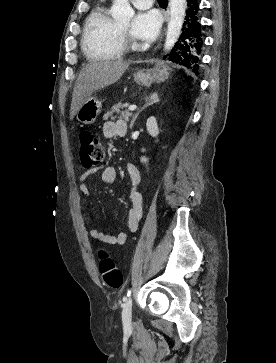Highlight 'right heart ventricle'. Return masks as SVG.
Returning a JSON list of instances; mask_svg holds the SVG:
<instances>
[{
	"label": "right heart ventricle",
	"instance_id": "e07e8e85",
	"mask_svg": "<svg viewBox=\"0 0 276 363\" xmlns=\"http://www.w3.org/2000/svg\"><path fill=\"white\" fill-rule=\"evenodd\" d=\"M81 43L86 56L92 60H111L123 53L119 41V25L109 15L106 7H98L89 15Z\"/></svg>",
	"mask_w": 276,
	"mask_h": 363
}]
</instances>
